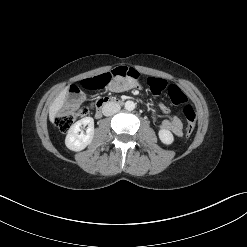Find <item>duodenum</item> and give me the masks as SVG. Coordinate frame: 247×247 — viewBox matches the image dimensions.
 Here are the masks:
<instances>
[{
    "label": "duodenum",
    "instance_id": "410a0bca",
    "mask_svg": "<svg viewBox=\"0 0 247 247\" xmlns=\"http://www.w3.org/2000/svg\"><path fill=\"white\" fill-rule=\"evenodd\" d=\"M122 101L116 98H111V97H105L102 99H99L96 104V111H95V117L96 118H101L103 115L104 110L107 107L110 106H119L122 105Z\"/></svg>",
    "mask_w": 247,
    "mask_h": 247
}]
</instances>
